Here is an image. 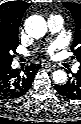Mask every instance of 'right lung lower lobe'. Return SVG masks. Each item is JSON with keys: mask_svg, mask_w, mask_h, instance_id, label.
<instances>
[{"mask_svg": "<svg viewBox=\"0 0 81 124\" xmlns=\"http://www.w3.org/2000/svg\"><path fill=\"white\" fill-rule=\"evenodd\" d=\"M40 64H31L24 69H12L11 63L0 64V97L16 99L23 96L31 87L35 72Z\"/></svg>", "mask_w": 81, "mask_h": 124, "instance_id": "right-lung-lower-lobe-1", "label": "right lung lower lobe"}]
</instances>
